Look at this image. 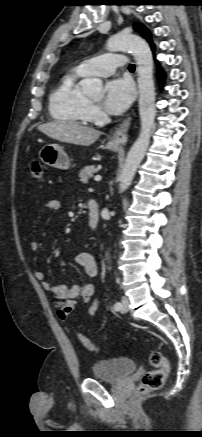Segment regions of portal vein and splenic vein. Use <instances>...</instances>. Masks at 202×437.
Segmentation results:
<instances>
[{"instance_id":"1","label":"portal vein and splenic vein","mask_w":202,"mask_h":437,"mask_svg":"<svg viewBox=\"0 0 202 437\" xmlns=\"http://www.w3.org/2000/svg\"><path fill=\"white\" fill-rule=\"evenodd\" d=\"M102 179V177L100 176V175H96L95 177H94V180L95 181H100Z\"/></svg>"}]
</instances>
